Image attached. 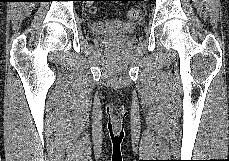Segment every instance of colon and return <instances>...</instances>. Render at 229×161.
Wrapping results in <instances>:
<instances>
[{
  "label": "colon",
  "instance_id": "5ec220e1",
  "mask_svg": "<svg viewBox=\"0 0 229 161\" xmlns=\"http://www.w3.org/2000/svg\"><path fill=\"white\" fill-rule=\"evenodd\" d=\"M92 4L90 5V12L96 13L97 12V6L94 4L95 1L100 0H89ZM126 16L129 20H138L141 17V10L139 8H130L126 12Z\"/></svg>",
  "mask_w": 229,
  "mask_h": 161
}]
</instances>
